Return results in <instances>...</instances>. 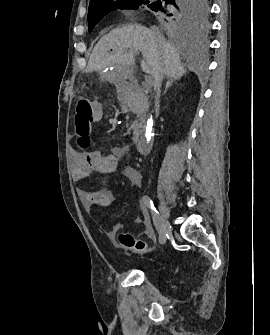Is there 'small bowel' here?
<instances>
[{
	"instance_id": "small-bowel-1",
	"label": "small bowel",
	"mask_w": 270,
	"mask_h": 335,
	"mask_svg": "<svg viewBox=\"0 0 270 335\" xmlns=\"http://www.w3.org/2000/svg\"><path fill=\"white\" fill-rule=\"evenodd\" d=\"M93 118L100 121L104 112L102 106L93 103ZM126 149L123 147L114 148L109 154H102L99 151H90L86 153L76 152L72 158V176L77 182L87 179L93 173L111 174L120 171L126 179L135 187L140 188L142 185L141 173L134 167L124 164L123 160ZM78 195L84 209L93 216V208L99 205L103 210L108 211L117 199V196L106 188L96 190L79 189ZM140 211L144 219V233L150 235L152 227L149 221L147 209L140 205ZM98 225L102 227L101 223ZM119 229L118 225H114L111 230L106 231L107 235H114Z\"/></svg>"
}]
</instances>
